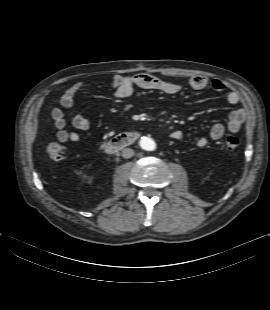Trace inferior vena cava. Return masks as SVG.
I'll return each instance as SVG.
<instances>
[{
	"label": "inferior vena cava",
	"mask_w": 270,
	"mask_h": 310,
	"mask_svg": "<svg viewBox=\"0 0 270 310\" xmlns=\"http://www.w3.org/2000/svg\"><path fill=\"white\" fill-rule=\"evenodd\" d=\"M134 155V150L131 148H125L122 151V156L125 159L131 158Z\"/></svg>",
	"instance_id": "obj_1"
}]
</instances>
